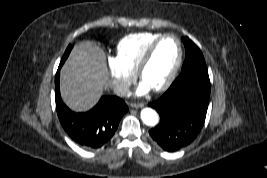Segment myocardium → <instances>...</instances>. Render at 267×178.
<instances>
[{
  "label": "myocardium",
  "instance_id": "f54148a6",
  "mask_svg": "<svg viewBox=\"0 0 267 178\" xmlns=\"http://www.w3.org/2000/svg\"><path fill=\"white\" fill-rule=\"evenodd\" d=\"M167 37H172L176 40V42L178 44V57H177V60L174 64L170 74L168 75L167 79L159 86L152 88V90L154 92H162V91L166 90L167 88H169L170 85L174 82V80L178 74V71H179L181 64H182L183 55H184L183 45H182L180 38L173 33H166V34L161 35L156 40H154L145 50L144 54L142 55V57L138 63V67L136 70V74H137L138 78L140 80H142L143 71L146 68V66L148 65L149 61L151 60L155 49Z\"/></svg>",
  "mask_w": 267,
  "mask_h": 178
}]
</instances>
